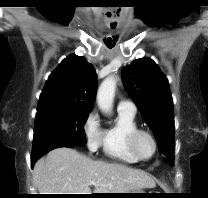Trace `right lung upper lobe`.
Segmentation results:
<instances>
[{
    "mask_svg": "<svg viewBox=\"0 0 208 198\" xmlns=\"http://www.w3.org/2000/svg\"><path fill=\"white\" fill-rule=\"evenodd\" d=\"M96 93V73L83 56L66 57L49 76L40 95L38 110L73 107L91 111Z\"/></svg>",
    "mask_w": 208,
    "mask_h": 198,
    "instance_id": "1",
    "label": "right lung upper lobe"
}]
</instances>
